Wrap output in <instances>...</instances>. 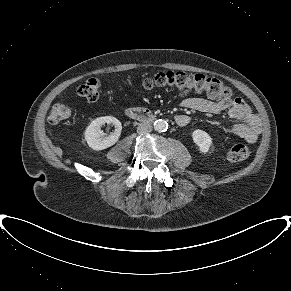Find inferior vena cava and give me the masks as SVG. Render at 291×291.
Here are the masks:
<instances>
[{
  "label": "inferior vena cava",
  "instance_id": "602c4592",
  "mask_svg": "<svg viewBox=\"0 0 291 291\" xmlns=\"http://www.w3.org/2000/svg\"><path fill=\"white\" fill-rule=\"evenodd\" d=\"M152 131V125L149 122H142L137 127L139 134H146Z\"/></svg>",
  "mask_w": 291,
  "mask_h": 291
}]
</instances>
